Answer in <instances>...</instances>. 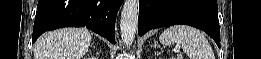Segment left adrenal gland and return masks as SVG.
Masks as SVG:
<instances>
[{"label": "left adrenal gland", "mask_w": 261, "mask_h": 59, "mask_svg": "<svg viewBox=\"0 0 261 59\" xmlns=\"http://www.w3.org/2000/svg\"><path fill=\"white\" fill-rule=\"evenodd\" d=\"M153 48H161V46L158 44L157 40H154V44L152 45Z\"/></svg>", "instance_id": "1"}]
</instances>
